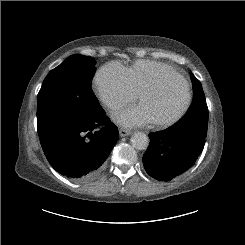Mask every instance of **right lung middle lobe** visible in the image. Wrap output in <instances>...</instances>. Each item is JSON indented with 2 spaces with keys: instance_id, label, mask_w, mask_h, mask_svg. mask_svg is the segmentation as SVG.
Returning a JSON list of instances; mask_svg holds the SVG:
<instances>
[{
  "instance_id": "1",
  "label": "right lung middle lobe",
  "mask_w": 245,
  "mask_h": 245,
  "mask_svg": "<svg viewBox=\"0 0 245 245\" xmlns=\"http://www.w3.org/2000/svg\"><path fill=\"white\" fill-rule=\"evenodd\" d=\"M94 65L93 58L75 54L48 73L37 97L38 133L101 111L91 91Z\"/></svg>"
}]
</instances>
